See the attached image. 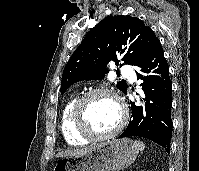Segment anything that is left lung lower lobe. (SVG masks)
<instances>
[{
	"mask_svg": "<svg viewBox=\"0 0 199 171\" xmlns=\"http://www.w3.org/2000/svg\"><path fill=\"white\" fill-rule=\"evenodd\" d=\"M141 104L131 102L132 116L119 138L139 136L154 141L170 152L172 137V85L169 66L158 40L139 63ZM127 93V91L125 92Z\"/></svg>",
	"mask_w": 199,
	"mask_h": 171,
	"instance_id": "1",
	"label": "left lung lower lobe"
}]
</instances>
